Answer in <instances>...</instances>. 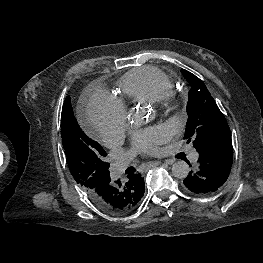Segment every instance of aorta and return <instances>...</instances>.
Wrapping results in <instances>:
<instances>
[{
  "label": "aorta",
  "instance_id": "aorta-1",
  "mask_svg": "<svg viewBox=\"0 0 263 263\" xmlns=\"http://www.w3.org/2000/svg\"><path fill=\"white\" fill-rule=\"evenodd\" d=\"M190 171L189 165L184 161H177L172 165V174L174 177L184 179Z\"/></svg>",
  "mask_w": 263,
  "mask_h": 263
}]
</instances>
